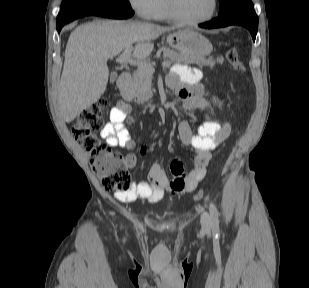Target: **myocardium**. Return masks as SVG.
Listing matches in <instances>:
<instances>
[{
  "label": "myocardium",
  "instance_id": "1",
  "mask_svg": "<svg viewBox=\"0 0 309 288\" xmlns=\"http://www.w3.org/2000/svg\"><path fill=\"white\" fill-rule=\"evenodd\" d=\"M165 1H166V7H167V11H168L170 18L174 20L175 22L182 24V25H186V26H200V25L206 24L215 17L217 10H218V0H212V9L206 17L197 19V20H189V19H185L181 17L178 14L175 8L174 0H165Z\"/></svg>",
  "mask_w": 309,
  "mask_h": 288
}]
</instances>
